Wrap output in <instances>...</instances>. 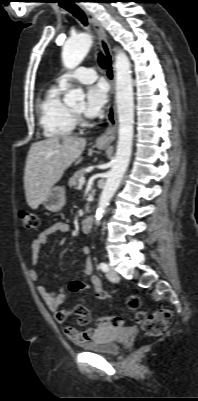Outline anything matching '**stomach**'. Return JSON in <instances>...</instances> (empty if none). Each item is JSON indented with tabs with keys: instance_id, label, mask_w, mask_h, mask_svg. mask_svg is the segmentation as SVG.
Instances as JSON below:
<instances>
[{
	"instance_id": "obj_1",
	"label": "stomach",
	"mask_w": 198,
	"mask_h": 401,
	"mask_svg": "<svg viewBox=\"0 0 198 401\" xmlns=\"http://www.w3.org/2000/svg\"><path fill=\"white\" fill-rule=\"evenodd\" d=\"M96 146L99 149H104L106 147V145L100 144H97ZM42 203L50 212L60 211L66 203L65 189L60 186L53 187Z\"/></svg>"
}]
</instances>
